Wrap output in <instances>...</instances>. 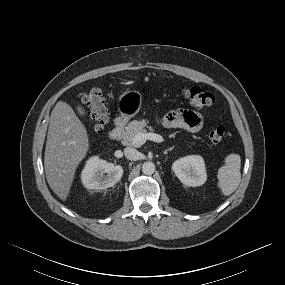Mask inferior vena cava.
Returning a JSON list of instances; mask_svg holds the SVG:
<instances>
[{"instance_id":"1","label":"inferior vena cava","mask_w":285,"mask_h":285,"mask_svg":"<svg viewBox=\"0 0 285 285\" xmlns=\"http://www.w3.org/2000/svg\"><path fill=\"white\" fill-rule=\"evenodd\" d=\"M124 155L129 160H137L139 157V152L131 147H126L124 149Z\"/></svg>"}]
</instances>
